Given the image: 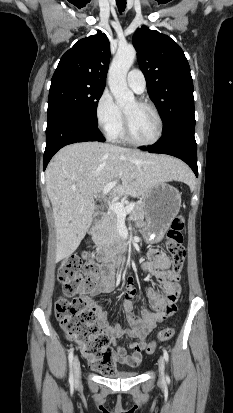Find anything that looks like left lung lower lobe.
I'll return each instance as SVG.
<instances>
[{
  "mask_svg": "<svg viewBox=\"0 0 233 413\" xmlns=\"http://www.w3.org/2000/svg\"><path fill=\"white\" fill-rule=\"evenodd\" d=\"M195 124L179 122L163 132L161 139L155 144L141 148L151 153H162L175 156L186 162L196 176L197 144L194 137Z\"/></svg>",
  "mask_w": 233,
  "mask_h": 413,
  "instance_id": "1",
  "label": "left lung lower lobe"
}]
</instances>
